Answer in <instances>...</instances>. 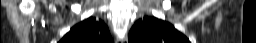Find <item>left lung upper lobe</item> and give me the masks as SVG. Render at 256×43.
Wrapping results in <instances>:
<instances>
[{"label": "left lung upper lobe", "instance_id": "1", "mask_svg": "<svg viewBox=\"0 0 256 43\" xmlns=\"http://www.w3.org/2000/svg\"><path fill=\"white\" fill-rule=\"evenodd\" d=\"M129 43H190L174 26L155 17L137 21L129 33Z\"/></svg>", "mask_w": 256, "mask_h": 43}]
</instances>
